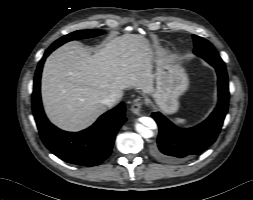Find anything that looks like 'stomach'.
I'll list each match as a JSON object with an SVG mask.
<instances>
[{
  "label": "stomach",
  "instance_id": "0dacf381",
  "mask_svg": "<svg viewBox=\"0 0 253 200\" xmlns=\"http://www.w3.org/2000/svg\"><path fill=\"white\" fill-rule=\"evenodd\" d=\"M150 45L149 39L142 37ZM156 89L152 94L157 106L167 114L175 113L179 108L178 98L188 88L189 80L180 64L168 57L156 59Z\"/></svg>",
  "mask_w": 253,
  "mask_h": 200
}]
</instances>
